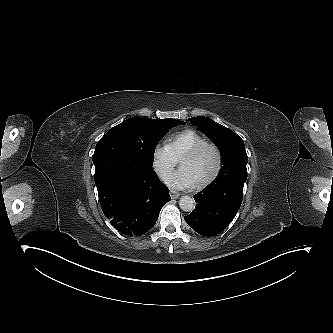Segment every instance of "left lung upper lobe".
<instances>
[{
  "mask_svg": "<svg viewBox=\"0 0 333 333\" xmlns=\"http://www.w3.org/2000/svg\"><path fill=\"white\" fill-rule=\"evenodd\" d=\"M189 120L209 137L221 152L223 167L216 180L223 184L244 183L247 179L248 158L241 137L207 117H194Z\"/></svg>",
  "mask_w": 333,
  "mask_h": 333,
  "instance_id": "5c2ea615",
  "label": "left lung upper lobe"
}]
</instances>
